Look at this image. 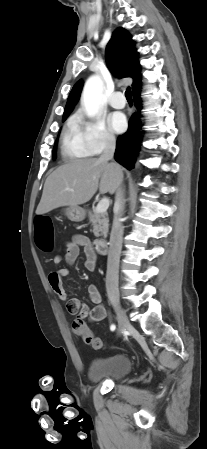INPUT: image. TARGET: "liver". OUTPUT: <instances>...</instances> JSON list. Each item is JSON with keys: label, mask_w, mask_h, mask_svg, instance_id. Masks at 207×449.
<instances>
[{"label": "liver", "mask_w": 207, "mask_h": 449, "mask_svg": "<svg viewBox=\"0 0 207 449\" xmlns=\"http://www.w3.org/2000/svg\"><path fill=\"white\" fill-rule=\"evenodd\" d=\"M121 168L96 158L74 160L59 166L46 179L37 215L61 206H78L88 202L97 189L113 194L118 188Z\"/></svg>", "instance_id": "liver-1"}]
</instances>
